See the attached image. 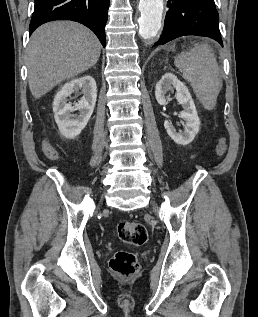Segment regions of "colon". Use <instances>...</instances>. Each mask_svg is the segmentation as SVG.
Listing matches in <instances>:
<instances>
[{
    "mask_svg": "<svg viewBox=\"0 0 258 317\" xmlns=\"http://www.w3.org/2000/svg\"><path fill=\"white\" fill-rule=\"evenodd\" d=\"M226 140L220 139L216 152L223 155L226 151ZM118 237L125 243L132 245H142L147 241L148 233L145 226L138 222L124 221L118 225ZM110 269L122 277H132L139 271V262L135 254L120 250L117 251L109 261Z\"/></svg>",
    "mask_w": 258,
    "mask_h": 317,
    "instance_id": "colon-1",
    "label": "colon"
}]
</instances>
